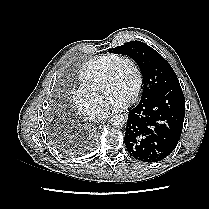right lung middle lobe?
Instances as JSON below:
<instances>
[{"label": "right lung middle lobe", "instance_id": "1", "mask_svg": "<svg viewBox=\"0 0 209 209\" xmlns=\"http://www.w3.org/2000/svg\"><path fill=\"white\" fill-rule=\"evenodd\" d=\"M55 145L63 152L68 154H78L84 151V147L75 146L68 143L64 136L58 135L53 138Z\"/></svg>", "mask_w": 209, "mask_h": 209}]
</instances>
